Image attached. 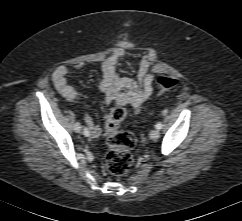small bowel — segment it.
<instances>
[{
    "label": "small bowel",
    "mask_w": 242,
    "mask_h": 221,
    "mask_svg": "<svg viewBox=\"0 0 242 221\" xmlns=\"http://www.w3.org/2000/svg\"><path fill=\"white\" fill-rule=\"evenodd\" d=\"M124 53V47L115 48L104 60L101 66L100 89L108 105H128L137 113L153 93L154 75L149 72L150 59L145 57L140 61L135 79L120 76L117 72V62ZM82 66L81 63L70 66L64 65L58 67L53 73V83L56 89L68 101H75L78 93L69 85L67 76L70 70H78ZM84 120L90 128L92 136L98 137L101 132L99 126L95 125L92 118L87 114L84 115Z\"/></svg>",
    "instance_id": "c3829d8e"
}]
</instances>
